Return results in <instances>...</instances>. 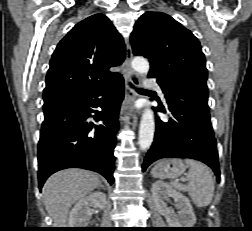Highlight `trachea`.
Listing matches in <instances>:
<instances>
[{"label":"trachea","instance_id":"trachea-1","mask_svg":"<svg viewBox=\"0 0 252 231\" xmlns=\"http://www.w3.org/2000/svg\"><path fill=\"white\" fill-rule=\"evenodd\" d=\"M131 87H133L131 84H130ZM137 91H145L144 89H137Z\"/></svg>","mask_w":252,"mask_h":231}]
</instances>
